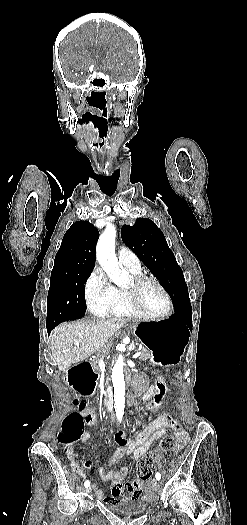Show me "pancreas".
Returning a JSON list of instances; mask_svg holds the SVG:
<instances>
[{
    "label": "pancreas",
    "instance_id": "1",
    "mask_svg": "<svg viewBox=\"0 0 247 525\" xmlns=\"http://www.w3.org/2000/svg\"><path fill=\"white\" fill-rule=\"evenodd\" d=\"M140 353H141L140 357H142L144 361H147L149 359V354H151V348L140 349ZM96 358L97 357H92L90 363L93 369H96V371H98L99 366H98V362L96 361Z\"/></svg>",
    "mask_w": 247,
    "mask_h": 525
}]
</instances>
